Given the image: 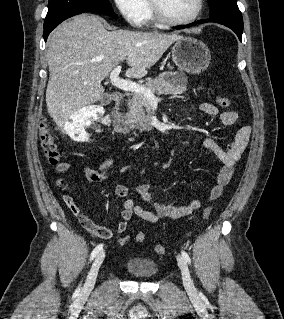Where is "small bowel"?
Wrapping results in <instances>:
<instances>
[{
    "instance_id": "c3829d8e",
    "label": "small bowel",
    "mask_w": 284,
    "mask_h": 319,
    "mask_svg": "<svg viewBox=\"0 0 284 319\" xmlns=\"http://www.w3.org/2000/svg\"><path fill=\"white\" fill-rule=\"evenodd\" d=\"M200 110L210 116H219L223 125L231 127L236 124L238 115L234 111L219 112L216 106L209 102L200 104ZM251 135L250 127H240L235 135L232 143L224 148L218 144L215 140L207 138L203 142L205 149L214 153L218 159L222 162V168L220 169L216 183L209 190L206 199L213 201L219 198L223 192L224 187L231 181L234 174V166L240 160L244 151L246 150ZM70 168V163L63 161L59 163L55 171L60 174L67 171ZM83 173L86 179L93 183H100L108 178L106 171L98 172L92 169L90 166L83 167ZM142 199L147 202L152 210H147L140 205L134 203L128 198V188L125 185H117L115 188L116 195L120 200L121 205V221L118 223L115 230L116 233H123L127 228L128 221L135 215L140 219L155 224L164 218L179 219L190 215L193 211L200 208L202 204L201 199L192 200L188 205L173 206L165 205L156 202L151 193V185L148 183L141 184L137 189ZM63 201L68 209L78 218L82 227L87 230L91 235L108 239L114 234V231L94 223L74 202V199L70 195H64Z\"/></svg>"
}]
</instances>
